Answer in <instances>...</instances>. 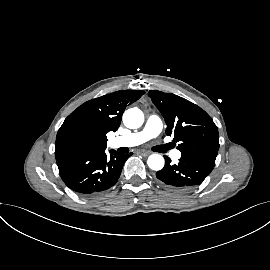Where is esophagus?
<instances>
[{"label": "esophagus", "instance_id": "1", "mask_svg": "<svg viewBox=\"0 0 270 270\" xmlns=\"http://www.w3.org/2000/svg\"><path fill=\"white\" fill-rule=\"evenodd\" d=\"M139 154L142 156H148L150 154V152L141 150V151H139Z\"/></svg>", "mask_w": 270, "mask_h": 270}]
</instances>
